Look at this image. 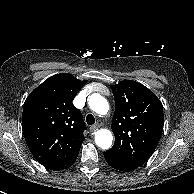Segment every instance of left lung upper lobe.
Here are the masks:
<instances>
[{"label":"left lung upper lobe","instance_id":"1","mask_svg":"<svg viewBox=\"0 0 194 194\" xmlns=\"http://www.w3.org/2000/svg\"><path fill=\"white\" fill-rule=\"evenodd\" d=\"M115 113L113 147L106 153L121 161L142 166L153 154L163 130V105L144 85L125 80L112 86Z\"/></svg>","mask_w":194,"mask_h":194}]
</instances>
